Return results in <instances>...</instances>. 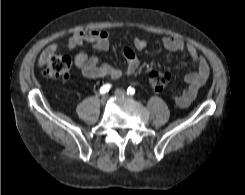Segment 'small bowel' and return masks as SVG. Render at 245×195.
<instances>
[{"instance_id": "c3829d8e", "label": "small bowel", "mask_w": 245, "mask_h": 195, "mask_svg": "<svg viewBox=\"0 0 245 195\" xmlns=\"http://www.w3.org/2000/svg\"><path fill=\"white\" fill-rule=\"evenodd\" d=\"M86 43L93 44L97 50H106L109 47V34L104 30L79 31L70 37L68 47L72 49ZM162 43L164 48L169 51L187 53L197 66L195 71L188 73L185 77L187 88L174 96L176 105L185 108L196 98L200 88L208 79L210 73L208 62L203 55L198 53L194 45L185 43L179 38L165 37ZM133 45L136 50H143L147 42L143 38H135ZM56 47L58 44H52L43 51L39 58L41 66L49 60ZM123 56L126 60L123 69L103 63L96 56H89L84 52L76 55L75 65L85 77L115 80L124 75L134 74L139 67L140 61L132 48L125 47Z\"/></svg>"}]
</instances>
